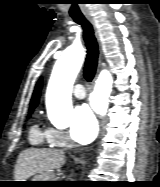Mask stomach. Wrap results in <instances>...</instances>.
I'll list each match as a JSON object with an SVG mask.
<instances>
[{
    "mask_svg": "<svg viewBox=\"0 0 160 187\" xmlns=\"http://www.w3.org/2000/svg\"><path fill=\"white\" fill-rule=\"evenodd\" d=\"M54 174L49 172V173H44L41 175L35 176L32 180L29 181H35V182H29L25 183L22 186H28V187H49L52 186V182L48 181H56L54 180Z\"/></svg>",
    "mask_w": 160,
    "mask_h": 187,
    "instance_id": "1",
    "label": "stomach"
}]
</instances>
